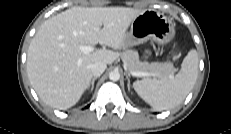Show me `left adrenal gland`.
I'll return each mask as SVG.
<instances>
[{
	"label": "left adrenal gland",
	"instance_id": "obj_1",
	"mask_svg": "<svg viewBox=\"0 0 231 134\" xmlns=\"http://www.w3.org/2000/svg\"><path fill=\"white\" fill-rule=\"evenodd\" d=\"M126 79H127V81H128V90L130 91V78H129V76L126 74Z\"/></svg>",
	"mask_w": 231,
	"mask_h": 134
}]
</instances>
